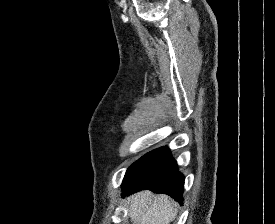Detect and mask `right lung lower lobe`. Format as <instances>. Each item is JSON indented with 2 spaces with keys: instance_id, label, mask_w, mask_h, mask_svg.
<instances>
[{
  "instance_id": "right-lung-lower-lobe-1",
  "label": "right lung lower lobe",
  "mask_w": 275,
  "mask_h": 224,
  "mask_svg": "<svg viewBox=\"0 0 275 224\" xmlns=\"http://www.w3.org/2000/svg\"><path fill=\"white\" fill-rule=\"evenodd\" d=\"M142 189L166 193L182 203L184 176L178 171L168 147L145 154L128 168L122 183L123 194Z\"/></svg>"
}]
</instances>
